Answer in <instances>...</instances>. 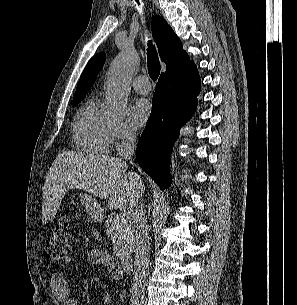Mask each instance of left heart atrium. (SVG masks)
Instances as JSON below:
<instances>
[{
	"label": "left heart atrium",
	"instance_id": "39dd6f15",
	"mask_svg": "<svg viewBox=\"0 0 297 305\" xmlns=\"http://www.w3.org/2000/svg\"><path fill=\"white\" fill-rule=\"evenodd\" d=\"M131 119L135 126L146 124L152 113V105L145 98L137 99L131 107Z\"/></svg>",
	"mask_w": 297,
	"mask_h": 305
}]
</instances>
